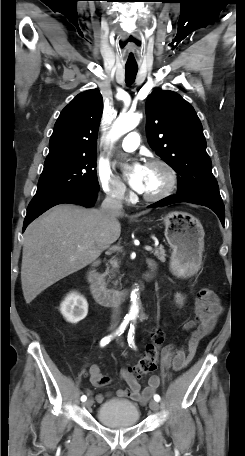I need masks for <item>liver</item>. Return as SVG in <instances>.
<instances>
[{"mask_svg": "<svg viewBox=\"0 0 245 456\" xmlns=\"http://www.w3.org/2000/svg\"><path fill=\"white\" fill-rule=\"evenodd\" d=\"M123 216L122 211L64 204L34 220L24 233L21 283L26 303L95 261L120 237L118 218Z\"/></svg>", "mask_w": 245, "mask_h": 456, "instance_id": "liver-1", "label": "liver"}]
</instances>
